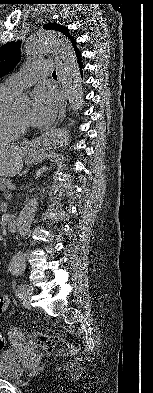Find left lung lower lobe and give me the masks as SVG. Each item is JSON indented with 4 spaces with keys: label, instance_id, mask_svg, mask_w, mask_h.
<instances>
[{
    "label": "left lung lower lobe",
    "instance_id": "obj_1",
    "mask_svg": "<svg viewBox=\"0 0 153 393\" xmlns=\"http://www.w3.org/2000/svg\"><path fill=\"white\" fill-rule=\"evenodd\" d=\"M76 56H77V58H78L77 62H78V64H79L80 70H81V68H82L83 65L81 64L80 53H79V52H76Z\"/></svg>",
    "mask_w": 153,
    "mask_h": 393
}]
</instances>
